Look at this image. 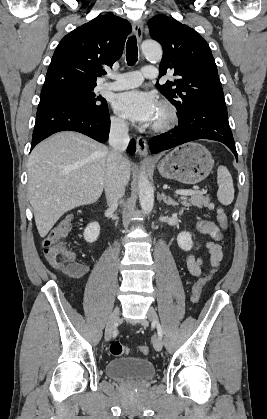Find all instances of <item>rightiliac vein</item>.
Returning a JSON list of instances; mask_svg holds the SVG:
<instances>
[{"mask_svg":"<svg viewBox=\"0 0 267 419\" xmlns=\"http://www.w3.org/2000/svg\"><path fill=\"white\" fill-rule=\"evenodd\" d=\"M119 313H120V309L119 307H116L113 312L111 313L106 328H105V340L109 341L111 339L113 330L116 326V324L119 321Z\"/></svg>","mask_w":267,"mask_h":419,"instance_id":"63e3f726","label":"right iliac vein"}]
</instances>
